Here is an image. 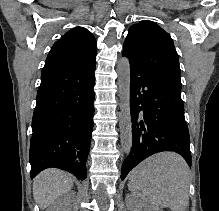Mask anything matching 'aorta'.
Returning <instances> with one entry per match:
<instances>
[{
    "mask_svg": "<svg viewBox=\"0 0 219 211\" xmlns=\"http://www.w3.org/2000/svg\"><path fill=\"white\" fill-rule=\"evenodd\" d=\"M130 62L123 57L117 66L118 93L120 99L119 128L122 151L129 155L132 148V121L130 108Z\"/></svg>",
    "mask_w": 219,
    "mask_h": 211,
    "instance_id": "762f6f07",
    "label": "aorta"
}]
</instances>
